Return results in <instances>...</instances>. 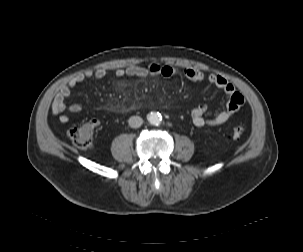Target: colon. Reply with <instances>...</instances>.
<instances>
[{
  "instance_id": "colon-1",
  "label": "colon",
  "mask_w": 303,
  "mask_h": 252,
  "mask_svg": "<svg viewBox=\"0 0 303 252\" xmlns=\"http://www.w3.org/2000/svg\"><path fill=\"white\" fill-rule=\"evenodd\" d=\"M246 132L244 125H237L232 128L231 135L235 138L242 136ZM71 141L79 148L85 149L93 145L96 133L95 123L89 122L80 127L73 128L69 131Z\"/></svg>"
}]
</instances>
